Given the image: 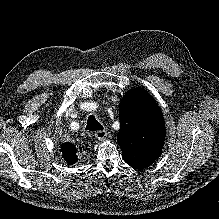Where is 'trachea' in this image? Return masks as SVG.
<instances>
[{
	"instance_id": "trachea-1",
	"label": "trachea",
	"mask_w": 219,
	"mask_h": 219,
	"mask_svg": "<svg viewBox=\"0 0 219 219\" xmlns=\"http://www.w3.org/2000/svg\"><path fill=\"white\" fill-rule=\"evenodd\" d=\"M102 129H104L103 126L101 125L100 122H98L95 116L93 115L89 116L87 120L86 130L97 131V130H102Z\"/></svg>"
}]
</instances>
